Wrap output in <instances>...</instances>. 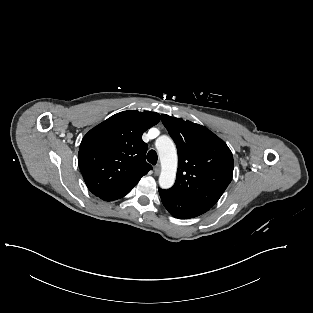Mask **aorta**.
<instances>
[{"label":"aorta","instance_id":"aorta-1","mask_svg":"<svg viewBox=\"0 0 313 313\" xmlns=\"http://www.w3.org/2000/svg\"><path fill=\"white\" fill-rule=\"evenodd\" d=\"M157 150L161 162V173L159 185L163 189L173 186L177 172V151L171 138L161 136L157 145Z\"/></svg>","mask_w":313,"mask_h":313}]
</instances>
